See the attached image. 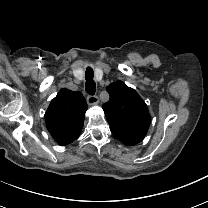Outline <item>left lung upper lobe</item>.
I'll list each match as a JSON object with an SVG mask.
<instances>
[{
  "label": "left lung upper lobe",
  "instance_id": "1",
  "mask_svg": "<svg viewBox=\"0 0 208 208\" xmlns=\"http://www.w3.org/2000/svg\"><path fill=\"white\" fill-rule=\"evenodd\" d=\"M106 90L110 99L102 108L110 129L147 133L151 117L146 103L138 93L120 80L111 83Z\"/></svg>",
  "mask_w": 208,
  "mask_h": 208
}]
</instances>
